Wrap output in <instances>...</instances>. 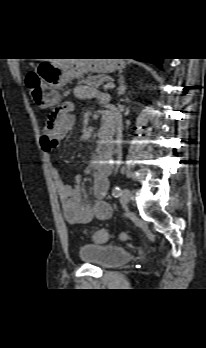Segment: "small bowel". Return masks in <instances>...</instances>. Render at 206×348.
Instances as JSON below:
<instances>
[{
  "instance_id": "obj_1",
  "label": "small bowel",
  "mask_w": 206,
  "mask_h": 348,
  "mask_svg": "<svg viewBox=\"0 0 206 348\" xmlns=\"http://www.w3.org/2000/svg\"><path fill=\"white\" fill-rule=\"evenodd\" d=\"M76 94L83 99L99 98L107 101L108 96L88 86H78ZM73 104L65 102L59 105L47 119L44 134L40 139V146L45 153V160L54 180V185L59 195L62 210L66 221L70 224H86L94 220H107L112 215V208L104 199L112 172V151L105 147H98L93 159L86 166L84 176H92V194L94 200H84L80 182L82 178H76L74 185L65 184L54 167L50 153L55 150L60 140L68 134L75 125L76 119L72 114Z\"/></svg>"
}]
</instances>
